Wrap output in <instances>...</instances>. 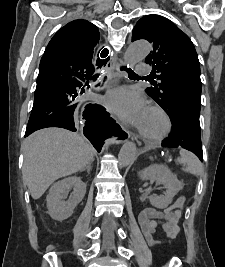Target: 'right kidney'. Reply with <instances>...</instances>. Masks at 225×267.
I'll return each mask as SVG.
<instances>
[{"instance_id": "right-kidney-1", "label": "right kidney", "mask_w": 225, "mask_h": 267, "mask_svg": "<svg viewBox=\"0 0 225 267\" xmlns=\"http://www.w3.org/2000/svg\"><path fill=\"white\" fill-rule=\"evenodd\" d=\"M73 189L68 201L64 196ZM86 193V184L80 177L71 176L54 183L47 196L48 213L54 220L63 221L73 214L74 208L82 201Z\"/></svg>"}]
</instances>
